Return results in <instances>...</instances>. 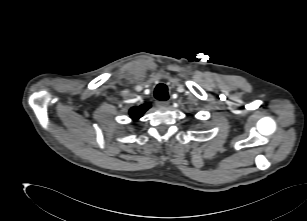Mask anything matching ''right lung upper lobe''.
<instances>
[{"label":"right lung upper lobe","instance_id":"1","mask_svg":"<svg viewBox=\"0 0 307 221\" xmlns=\"http://www.w3.org/2000/svg\"><path fill=\"white\" fill-rule=\"evenodd\" d=\"M151 105L149 103L142 104L138 107H132L129 111L130 116L134 119L137 120L139 119L145 111H147Z\"/></svg>","mask_w":307,"mask_h":221}]
</instances>
